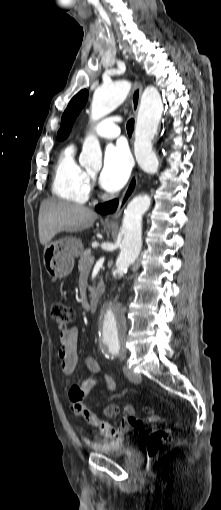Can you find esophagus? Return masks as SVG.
Instances as JSON below:
<instances>
[{
    "label": "esophagus",
    "mask_w": 221,
    "mask_h": 510,
    "mask_svg": "<svg viewBox=\"0 0 221 510\" xmlns=\"http://www.w3.org/2000/svg\"><path fill=\"white\" fill-rule=\"evenodd\" d=\"M142 89H143V87H142L141 83L136 81L134 84L132 96H131L132 109H133V112L135 115H137V112L139 109ZM137 186H138V176H137V173L134 172L129 180V183H128L126 189L124 190V192L122 193V195L119 199L117 209L115 210V212H113L105 217L104 221L106 224L113 225V226L117 225V220H118L120 214L122 213V211L125 208L128 201L135 194V192L137 190Z\"/></svg>",
    "instance_id": "obj_1"
}]
</instances>
